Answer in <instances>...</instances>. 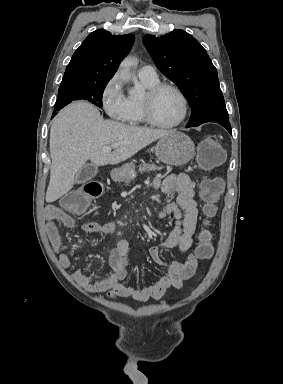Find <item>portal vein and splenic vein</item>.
Wrapping results in <instances>:
<instances>
[{
    "label": "portal vein and splenic vein",
    "mask_w": 283,
    "mask_h": 384,
    "mask_svg": "<svg viewBox=\"0 0 283 384\" xmlns=\"http://www.w3.org/2000/svg\"><path fill=\"white\" fill-rule=\"evenodd\" d=\"M120 144H112V146H105V148H102V152H111V150H115V148H118Z\"/></svg>",
    "instance_id": "portal-vein-and-splenic-vein-1"
}]
</instances>
